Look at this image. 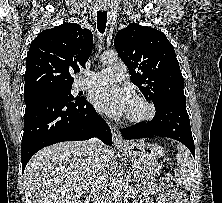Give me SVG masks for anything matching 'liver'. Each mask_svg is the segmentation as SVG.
<instances>
[{
	"label": "liver",
	"mask_w": 222,
	"mask_h": 203,
	"mask_svg": "<svg viewBox=\"0 0 222 203\" xmlns=\"http://www.w3.org/2000/svg\"><path fill=\"white\" fill-rule=\"evenodd\" d=\"M102 163L108 170L112 150L100 144ZM85 142H60L37 152L23 174L30 203H73L85 196L95 171Z\"/></svg>",
	"instance_id": "1"
}]
</instances>
